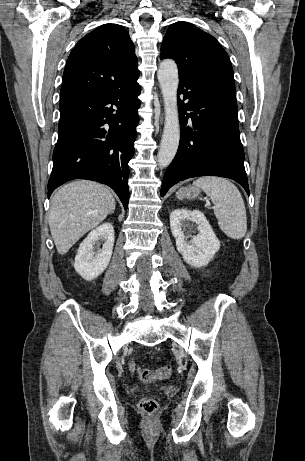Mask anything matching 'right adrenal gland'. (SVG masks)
Instances as JSON below:
<instances>
[{"label": "right adrenal gland", "mask_w": 305, "mask_h": 461, "mask_svg": "<svg viewBox=\"0 0 305 461\" xmlns=\"http://www.w3.org/2000/svg\"><path fill=\"white\" fill-rule=\"evenodd\" d=\"M115 208L111 211V213H114Z\"/></svg>", "instance_id": "2a0ac1e0"}]
</instances>
